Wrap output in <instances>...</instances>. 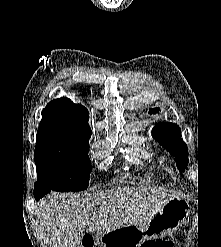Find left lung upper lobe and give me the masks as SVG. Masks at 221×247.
<instances>
[{"instance_id": "obj_1", "label": "left lung upper lobe", "mask_w": 221, "mask_h": 247, "mask_svg": "<svg viewBox=\"0 0 221 247\" xmlns=\"http://www.w3.org/2000/svg\"><path fill=\"white\" fill-rule=\"evenodd\" d=\"M158 112V108L149 111L150 114ZM152 136L175 157L179 170L184 171L188 163V149L181 139L179 126L168 122L159 123L153 128Z\"/></svg>"}]
</instances>
